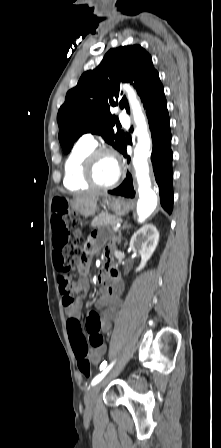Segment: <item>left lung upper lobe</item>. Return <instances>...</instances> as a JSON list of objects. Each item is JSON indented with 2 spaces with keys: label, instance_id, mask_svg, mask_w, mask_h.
Instances as JSON below:
<instances>
[{
  "label": "left lung upper lobe",
  "instance_id": "left-lung-upper-lobe-1",
  "mask_svg": "<svg viewBox=\"0 0 221 448\" xmlns=\"http://www.w3.org/2000/svg\"><path fill=\"white\" fill-rule=\"evenodd\" d=\"M121 82L133 84L142 102L163 87L151 56L140 45L109 50L99 66L83 73L77 86L67 92L58 111L59 141L64 153H69L84 133L99 134L118 151L122 149L125 137L120 131L114 133L115 117L110 113V107L117 105L129 112L127 99L119 91Z\"/></svg>",
  "mask_w": 221,
  "mask_h": 448
}]
</instances>
